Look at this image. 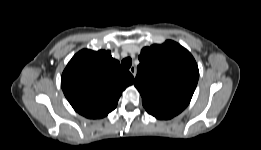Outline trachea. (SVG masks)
Segmentation results:
<instances>
[{"label": "trachea", "mask_w": 261, "mask_h": 150, "mask_svg": "<svg viewBox=\"0 0 261 150\" xmlns=\"http://www.w3.org/2000/svg\"><path fill=\"white\" fill-rule=\"evenodd\" d=\"M121 64L124 68H130L132 65V59L130 57L124 58L121 61Z\"/></svg>", "instance_id": "3493384b"}]
</instances>
